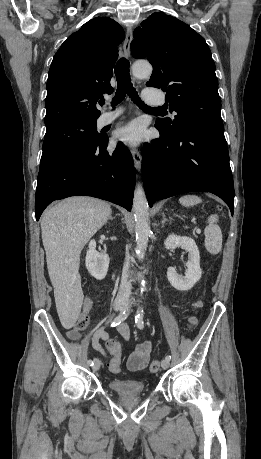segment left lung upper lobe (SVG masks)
Returning a JSON list of instances; mask_svg holds the SVG:
<instances>
[{
	"mask_svg": "<svg viewBox=\"0 0 261 459\" xmlns=\"http://www.w3.org/2000/svg\"><path fill=\"white\" fill-rule=\"evenodd\" d=\"M134 31L135 58L147 57L153 72L147 86L166 92L174 120L158 119L170 134L199 127H223L218 80L211 51L190 26L163 12L154 13Z\"/></svg>",
	"mask_w": 261,
	"mask_h": 459,
	"instance_id": "left-lung-upper-lobe-1",
	"label": "left lung upper lobe"
}]
</instances>
